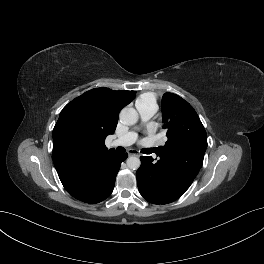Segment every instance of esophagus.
Listing matches in <instances>:
<instances>
[{
    "instance_id": "1",
    "label": "esophagus",
    "mask_w": 264,
    "mask_h": 264,
    "mask_svg": "<svg viewBox=\"0 0 264 264\" xmlns=\"http://www.w3.org/2000/svg\"><path fill=\"white\" fill-rule=\"evenodd\" d=\"M128 155L129 156H140V153L137 150H135V149H129L128 150Z\"/></svg>"
}]
</instances>
